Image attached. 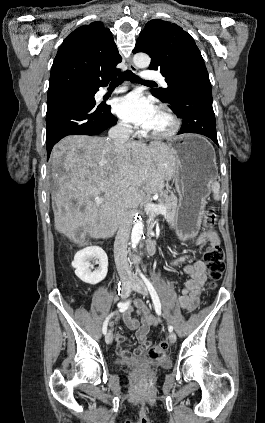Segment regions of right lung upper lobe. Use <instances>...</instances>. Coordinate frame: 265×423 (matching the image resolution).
<instances>
[{
    "label": "right lung upper lobe",
    "mask_w": 265,
    "mask_h": 423,
    "mask_svg": "<svg viewBox=\"0 0 265 423\" xmlns=\"http://www.w3.org/2000/svg\"><path fill=\"white\" fill-rule=\"evenodd\" d=\"M122 60L113 36L99 21L74 30L54 59L48 94L72 88L97 87L119 74Z\"/></svg>",
    "instance_id": "cb5924a9"
}]
</instances>
